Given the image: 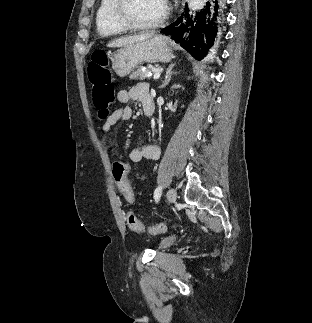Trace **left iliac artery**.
Instances as JSON below:
<instances>
[{
  "mask_svg": "<svg viewBox=\"0 0 312 323\" xmlns=\"http://www.w3.org/2000/svg\"><path fill=\"white\" fill-rule=\"evenodd\" d=\"M161 194H162V187L159 186L154 191V199H155L156 202L159 201Z\"/></svg>",
  "mask_w": 312,
  "mask_h": 323,
  "instance_id": "obj_1",
  "label": "left iliac artery"
}]
</instances>
